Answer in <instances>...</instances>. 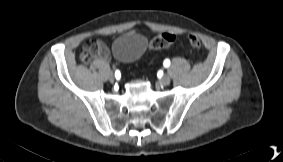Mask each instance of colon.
I'll return each mask as SVG.
<instances>
[{
	"label": "colon",
	"mask_w": 283,
	"mask_h": 162,
	"mask_svg": "<svg viewBox=\"0 0 283 162\" xmlns=\"http://www.w3.org/2000/svg\"><path fill=\"white\" fill-rule=\"evenodd\" d=\"M175 35L171 33H161L153 38L151 41V47L155 50L163 49L172 45L175 41ZM188 43L193 49H199L201 47L200 40L195 35H188ZM92 59V55L88 52H83L81 55V61L88 63Z\"/></svg>",
	"instance_id": "obj_1"
}]
</instances>
